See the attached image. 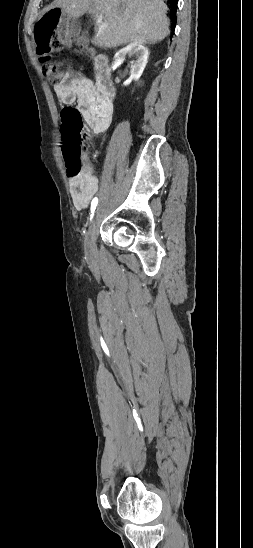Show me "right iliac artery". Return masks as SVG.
Returning a JSON list of instances; mask_svg holds the SVG:
<instances>
[{
	"label": "right iliac artery",
	"mask_w": 253,
	"mask_h": 548,
	"mask_svg": "<svg viewBox=\"0 0 253 548\" xmlns=\"http://www.w3.org/2000/svg\"><path fill=\"white\" fill-rule=\"evenodd\" d=\"M97 203H98V198L95 197V198L92 200V202H91V215H90V219H92L93 216H94V212H95Z\"/></svg>",
	"instance_id": "1"
}]
</instances>
